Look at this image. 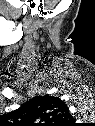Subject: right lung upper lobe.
<instances>
[{
    "instance_id": "obj_1",
    "label": "right lung upper lobe",
    "mask_w": 95,
    "mask_h": 126,
    "mask_svg": "<svg viewBox=\"0 0 95 126\" xmlns=\"http://www.w3.org/2000/svg\"><path fill=\"white\" fill-rule=\"evenodd\" d=\"M6 116L15 125L23 126H70L74 122L68 106L49 94L32 98Z\"/></svg>"
}]
</instances>
